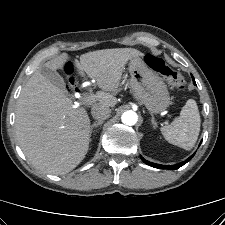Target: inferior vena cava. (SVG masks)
<instances>
[{"label": "inferior vena cava", "instance_id": "602c4592", "mask_svg": "<svg viewBox=\"0 0 225 225\" xmlns=\"http://www.w3.org/2000/svg\"><path fill=\"white\" fill-rule=\"evenodd\" d=\"M93 118L97 120H105L111 114V109L105 105H94L91 109Z\"/></svg>", "mask_w": 225, "mask_h": 225}]
</instances>
